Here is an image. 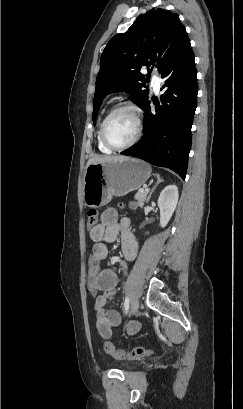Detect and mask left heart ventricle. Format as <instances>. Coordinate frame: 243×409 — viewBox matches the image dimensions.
Listing matches in <instances>:
<instances>
[{"label":"left heart ventricle","instance_id":"left-heart-ventricle-1","mask_svg":"<svg viewBox=\"0 0 243 409\" xmlns=\"http://www.w3.org/2000/svg\"><path fill=\"white\" fill-rule=\"evenodd\" d=\"M136 133V122L129 111L116 113L107 123L106 134L108 139L115 145H123L129 142Z\"/></svg>","mask_w":243,"mask_h":409}]
</instances>
